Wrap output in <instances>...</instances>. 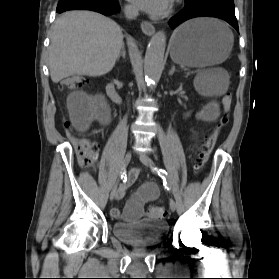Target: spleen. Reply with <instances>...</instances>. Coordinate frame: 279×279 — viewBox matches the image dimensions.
Returning <instances> with one entry per match:
<instances>
[{"label": "spleen", "instance_id": "1", "mask_svg": "<svg viewBox=\"0 0 279 279\" xmlns=\"http://www.w3.org/2000/svg\"><path fill=\"white\" fill-rule=\"evenodd\" d=\"M219 24L223 27L226 33L232 34L226 25L221 22H219ZM214 73L215 72L212 70H207L196 77L194 83L198 91L206 95H222L226 92L229 85L228 77L221 78L219 80L213 79Z\"/></svg>", "mask_w": 279, "mask_h": 279}]
</instances>
